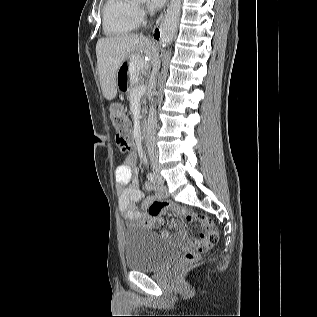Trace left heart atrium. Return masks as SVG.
<instances>
[{
    "mask_svg": "<svg viewBox=\"0 0 317 317\" xmlns=\"http://www.w3.org/2000/svg\"><path fill=\"white\" fill-rule=\"evenodd\" d=\"M166 0H147V5L150 9H159L164 5Z\"/></svg>",
    "mask_w": 317,
    "mask_h": 317,
    "instance_id": "left-heart-atrium-1",
    "label": "left heart atrium"
}]
</instances>
